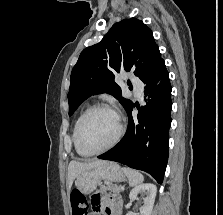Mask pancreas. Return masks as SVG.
I'll return each instance as SVG.
<instances>
[{"label": "pancreas", "instance_id": "1", "mask_svg": "<svg viewBox=\"0 0 223 215\" xmlns=\"http://www.w3.org/2000/svg\"><path fill=\"white\" fill-rule=\"evenodd\" d=\"M102 189H111V191H121L119 185H115V183H108V184H103L102 183Z\"/></svg>", "mask_w": 223, "mask_h": 215}]
</instances>
